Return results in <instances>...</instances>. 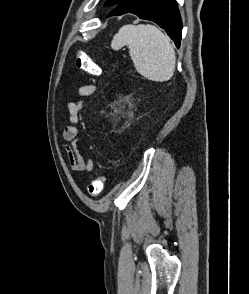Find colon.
<instances>
[{
  "mask_svg": "<svg viewBox=\"0 0 249 294\" xmlns=\"http://www.w3.org/2000/svg\"><path fill=\"white\" fill-rule=\"evenodd\" d=\"M75 63L78 69L83 70L89 75L97 76L101 73V68L87 54L78 52L76 54ZM106 183V177L100 176L92 180L88 186L90 196H98Z\"/></svg>",
  "mask_w": 249,
  "mask_h": 294,
  "instance_id": "1",
  "label": "colon"
}]
</instances>
